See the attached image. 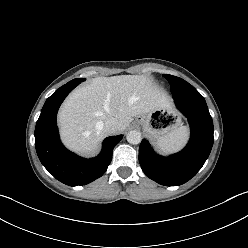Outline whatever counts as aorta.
I'll return each instance as SVG.
<instances>
[{"label":"aorta","instance_id":"762f6f07","mask_svg":"<svg viewBox=\"0 0 248 248\" xmlns=\"http://www.w3.org/2000/svg\"><path fill=\"white\" fill-rule=\"evenodd\" d=\"M126 139L130 144H139L142 140L141 133L136 130L130 131Z\"/></svg>","mask_w":248,"mask_h":248}]
</instances>
